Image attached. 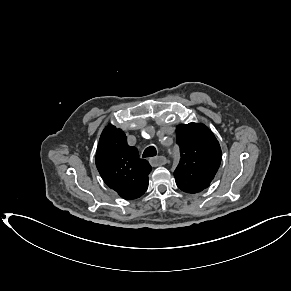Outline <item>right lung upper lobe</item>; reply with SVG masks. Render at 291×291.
<instances>
[{"label": "right lung upper lobe", "instance_id": "cb5924a9", "mask_svg": "<svg viewBox=\"0 0 291 291\" xmlns=\"http://www.w3.org/2000/svg\"><path fill=\"white\" fill-rule=\"evenodd\" d=\"M96 166L107 186L126 200L139 198L148 188L150 164L139 158L138 150L127 144L124 132L112 124L100 136Z\"/></svg>", "mask_w": 291, "mask_h": 291}]
</instances>
